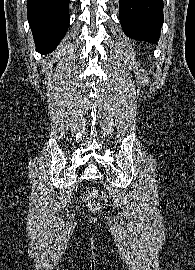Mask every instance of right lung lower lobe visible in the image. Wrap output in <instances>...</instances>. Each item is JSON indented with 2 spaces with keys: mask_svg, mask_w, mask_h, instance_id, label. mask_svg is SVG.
Listing matches in <instances>:
<instances>
[{
  "mask_svg": "<svg viewBox=\"0 0 195 270\" xmlns=\"http://www.w3.org/2000/svg\"><path fill=\"white\" fill-rule=\"evenodd\" d=\"M70 0H28V21L36 51L50 53L65 36L69 25Z\"/></svg>",
  "mask_w": 195,
  "mask_h": 270,
  "instance_id": "right-lung-lower-lobe-1",
  "label": "right lung lower lobe"
}]
</instances>
